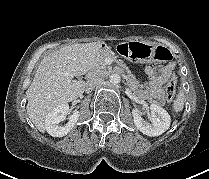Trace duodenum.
Segmentation results:
<instances>
[{"label":"duodenum","instance_id":"410a0bca","mask_svg":"<svg viewBox=\"0 0 209 179\" xmlns=\"http://www.w3.org/2000/svg\"><path fill=\"white\" fill-rule=\"evenodd\" d=\"M91 74H92V71H90V72L86 75V77L89 78V77L91 76Z\"/></svg>","mask_w":209,"mask_h":179}]
</instances>
